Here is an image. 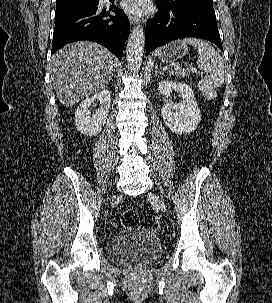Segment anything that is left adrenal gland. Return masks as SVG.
<instances>
[{"instance_id":"1","label":"left adrenal gland","mask_w":272,"mask_h":303,"mask_svg":"<svg viewBox=\"0 0 272 303\" xmlns=\"http://www.w3.org/2000/svg\"><path fill=\"white\" fill-rule=\"evenodd\" d=\"M164 74L163 72L159 71L158 68H155V75Z\"/></svg>"}]
</instances>
